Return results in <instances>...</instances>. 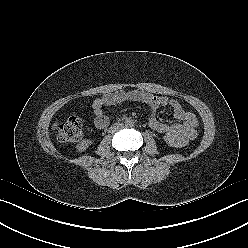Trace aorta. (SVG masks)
<instances>
[{
    "label": "aorta",
    "instance_id": "aorta-1",
    "mask_svg": "<svg viewBox=\"0 0 248 248\" xmlns=\"http://www.w3.org/2000/svg\"><path fill=\"white\" fill-rule=\"evenodd\" d=\"M134 124H135V122H134V120L131 119V118H127V119L125 120V126H126V127L132 128V127L134 126Z\"/></svg>",
    "mask_w": 248,
    "mask_h": 248
}]
</instances>
